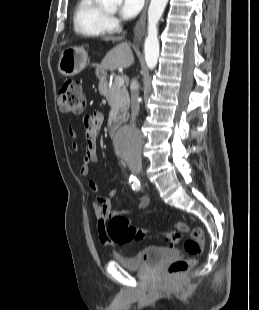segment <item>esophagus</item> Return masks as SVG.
Instances as JSON below:
<instances>
[{
  "instance_id": "34e87169",
  "label": "esophagus",
  "mask_w": 259,
  "mask_h": 310,
  "mask_svg": "<svg viewBox=\"0 0 259 310\" xmlns=\"http://www.w3.org/2000/svg\"><path fill=\"white\" fill-rule=\"evenodd\" d=\"M150 0H146L142 14L134 27V39L140 41L145 32L146 12Z\"/></svg>"
}]
</instances>
